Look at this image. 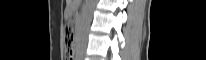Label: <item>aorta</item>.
Here are the masks:
<instances>
[{
	"instance_id": "obj_1",
	"label": "aorta",
	"mask_w": 206,
	"mask_h": 60,
	"mask_svg": "<svg viewBox=\"0 0 206 60\" xmlns=\"http://www.w3.org/2000/svg\"><path fill=\"white\" fill-rule=\"evenodd\" d=\"M96 5V0H86V5L83 11V17L78 30L81 51L85 47L89 26L92 19V14Z\"/></svg>"
}]
</instances>
